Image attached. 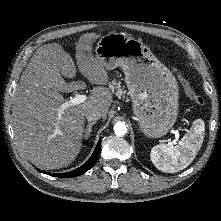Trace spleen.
<instances>
[{
    "label": "spleen",
    "instance_id": "3e777b00",
    "mask_svg": "<svg viewBox=\"0 0 221 221\" xmlns=\"http://www.w3.org/2000/svg\"><path fill=\"white\" fill-rule=\"evenodd\" d=\"M205 124L202 119L194 122V127L179 141L172 144H159L150 152V159L157 169L175 173L186 168L197 155L204 138Z\"/></svg>",
    "mask_w": 221,
    "mask_h": 221
}]
</instances>
